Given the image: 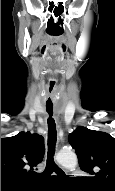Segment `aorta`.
<instances>
[{"label": "aorta", "mask_w": 115, "mask_h": 191, "mask_svg": "<svg viewBox=\"0 0 115 191\" xmlns=\"http://www.w3.org/2000/svg\"><path fill=\"white\" fill-rule=\"evenodd\" d=\"M57 161L69 169H74L77 166V156L71 151H60L57 154Z\"/></svg>", "instance_id": "1"}]
</instances>
